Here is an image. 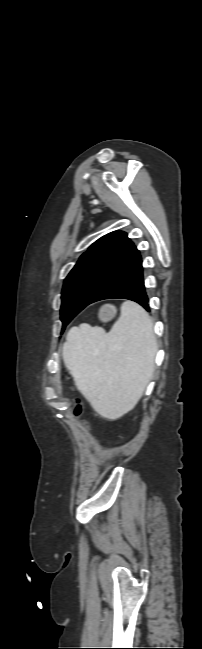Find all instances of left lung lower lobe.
<instances>
[{"label":"left lung lower lobe","instance_id":"left-lung-lower-lobe-1","mask_svg":"<svg viewBox=\"0 0 202 649\" xmlns=\"http://www.w3.org/2000/svg\"><path fill=\"white\" fill-rule=\"evenodd\" d=\"M143 276L142 258L139 250L133 246L89 304L104 299H129L139 303L150 312Z\"/></svg>","mask_w":202,"mask_h":649}]
</instances>
